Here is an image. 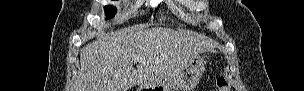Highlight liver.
Masks as SVG:
<instances>
[{"label":"liver","mask_w":304,"mask_h":91,"mask_svg":"<svg viewBox=\"0 0 304 91\" xmlns=\"http://www.w3.org/2000/svg\"><path fill=\"white\" fill-rule=\"evenodd\" d=\"M213 51L202 36L168 28H131L80 50L74 91H128L171 81L197 54ZM142 58L133 68L134 58Z\"/></svg>","instance_id":"obj_1"}]
</instances>
